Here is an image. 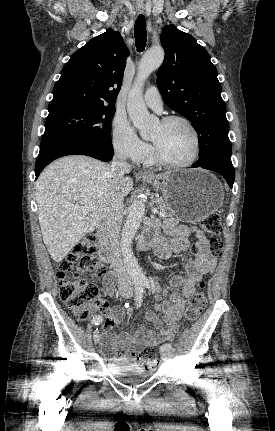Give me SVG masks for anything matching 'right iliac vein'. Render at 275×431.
I'll return each mask as SVG.
<instances>
[{"label":"right iliac vein","mask_w":275,"mask_h":431,"mask_svg":"<svg viewBox=\"0 0 275 431\" xmlns=\"http://www.w3.org/2000/svg\"><path fill=\"white\" fill-rule=\"evenodd\" d=\"M93 339H94V343H95V344H98V343H99V341H100V334H99V332H98V331H95V332H94V334H93Z\"/></svg>","instance_id":"obj_1"}]
</instances>
